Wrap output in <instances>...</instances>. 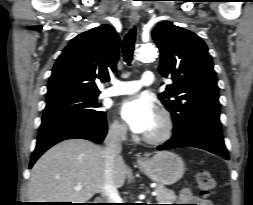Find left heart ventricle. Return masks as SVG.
<instances>
[{
	"instance_id": "b2bd125f",
	"label": "left heart ventricle",
	"mask_w": 253,
	"mask_h": 205,
	"mask_svg": "<svg viewBox=\"0 0 253 205\" xmlns=\"http://www.w3.org/2000/svg\"><path fill=\"white\" fill-rule=\"evenodd\" d=\"M159 129H160V121H159V118L157 116L153 126L151 127V129L146 134L147 135L155 134L159 131Z\"/></svg>"
}]
</instances>
